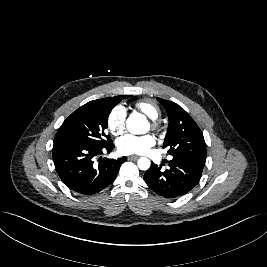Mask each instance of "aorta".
Here are the masks:
<instances>
[{
	"label": "aorta",
	"mask_w": 267,
	"mask_h": 267,
	"mask_svg": "<svg viewBox=\"0 0 267 267\" xmlns=\"http://www.w3.org/2000/svg\"><path fill=\"white\" fill-rule=\"evenodd\" d=\"M127 129L132 134H144L148 131V123L145 117L139 113H132L126 121ZM140 170H148L151 162L146 157L139 158L137 162Z\"/></svg>",
	"instance_id": "762f6f07"
}]
</instances>
